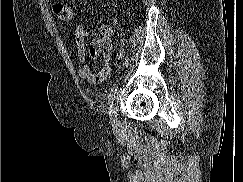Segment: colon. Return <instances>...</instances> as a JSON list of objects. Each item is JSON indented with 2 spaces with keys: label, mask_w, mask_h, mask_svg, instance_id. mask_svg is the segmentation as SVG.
I'll return each instance as SVG.
<instances>
[{
  "label": "colon",
  "mask_w": 243,
  "mask_h": 182,
  "mask_svg": "<svg viewBox=\"0 0 243 182\" xmlns=\"http://www.w3.org/2000/svg\"><path fill=\"white\" fill-rule=\"evenodd\" d=\"M54 13L61 19V20H71L74 16L73 8L65 3H55L53 5ZM101 42L100 50L103 49L104 51H108L110 48L109 42L106 37H103Z\"/></svg>",
  "instance_id": "obj_1"
}]
</instances>
